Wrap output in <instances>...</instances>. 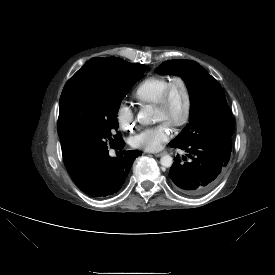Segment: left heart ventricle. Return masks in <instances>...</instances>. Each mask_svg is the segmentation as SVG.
<instances>
[{
  "instance_id": "obj_1",
  "label": "left heart ventricle",
  "mask_w": 275,
  "mask_h": 275,
  "mask_svg": "<svg viewBox=\"0 0 275 275\" xmlns=\"http://www.w3.org/2000/svg\"><path fill=\"white\" fill-rule=\"evenodd\" d=\"M186 104V93L180 82L175 84L171 95V101L168 108L155 109V118L157 120L173 124L183 114Z\"/></svg>"
}]
</instances>
